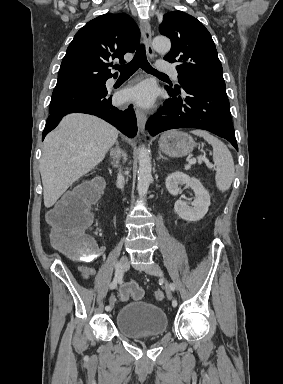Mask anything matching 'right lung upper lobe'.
<instances>
[{"mask_svg": "<svg viewBox=\"0 0 283 384\" xmlns=\"http://www.w3.org/2000/svg\"><path fill=\"white\" fill-rule=\"evenodd\" d=\"M140 32L127 14L107 13L89 21L67 48L55 89L106 82L112 76L109 66L137 48Z\"/></svg>", "mask_w": 283, "mask_h": 384, "instance_id": "obj_1", "label": "right lung upper lobe"}]
</instances>
